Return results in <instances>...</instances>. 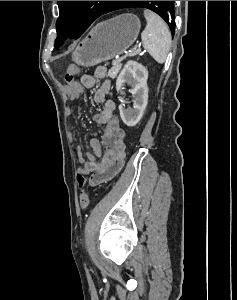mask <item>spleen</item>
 Returning a JSON list of instances; mask_svg holds the SVG:
<instances>
[{
    "label": "spleen",
    "mask_w": 237,
    "mask_h": 300,
    "mask_svg": "<svg viewBox=\"0 0 237 300\" xmlns=\"http://www.w3.org/2000/svg\"><path fill=\"white\" fill-rule=\"evenodd\" d=\"M144 17L147 25L141 35L143 47L157 63H164L170 49L171 35L163 19L145 9Z\"/></svg>",
    "instance_id": "spleen-1"
}]
</instances>
